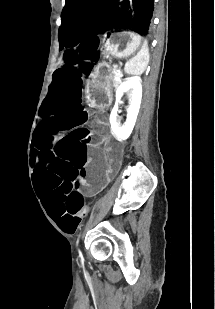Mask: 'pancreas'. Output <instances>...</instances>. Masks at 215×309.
I'll list each match as a JSON object with an SVG mask.
<instances>
[{
  "label": "pancreas",
  "instance_id": "cf45deb5",
  "mask_svg": "<svg viewBox=\"0 0 215 309\" xmlns=\"http://www.w3.org/2000/svg\"><path fill=\"white\" fill-rule=\"evenodd\" d=\"M113 74V78H111L112 82H113V86H118V84H120V80H115L114 76H116L115 72H112Z\"/></svg>",
  "mask_w": 215,
  "mask_h": 309
}]
</instances>
